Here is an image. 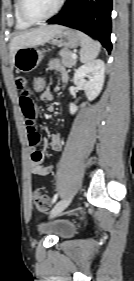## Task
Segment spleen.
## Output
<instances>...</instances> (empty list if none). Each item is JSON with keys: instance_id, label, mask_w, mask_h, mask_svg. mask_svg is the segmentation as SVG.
<instances>
[{"instance_id": "1", "label": "spleen", "mask_w": 134, "mask_h": 281, "mask_svg": "<svg viewBox=\"0 0 134 281\" xmlns=\"http://www.w3.org/2000/svg\"><path fill=\"white\" fill-rule=\"evenodd\" d=\"M101 49V44L98 41H94L88 35L81 33V50L80 61L82 63H88L94 60Z\"/></svg>"}]
</instances>
